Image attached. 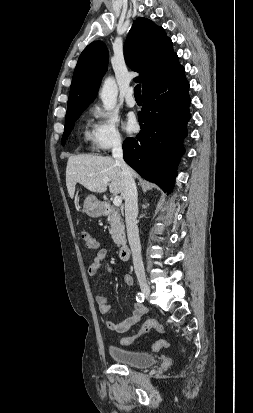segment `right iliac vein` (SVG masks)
<instances>
[{
    "label": "right iliac vein",
    "instance_id": "63e3f726",
    "mask_svg": "<svg viewBox=\"0 0 253 413\" xmlns=\"http://www.w3.org/2000/svg\"><path fill=\"white\" fill-rule=\"evenodd\" d=\"M141 291L145 297H149L150 295V287L145 280H140L139 282Z\"/></svg>",
    "mask_w": 253,
    "mask_h": 413
}]
</instances>
